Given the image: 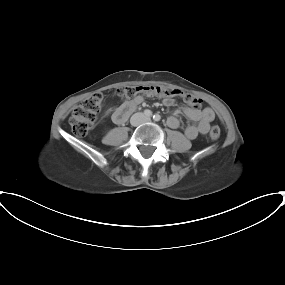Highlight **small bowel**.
<instances>
[{"instance_id": "c3829d8e", "label": "small bowel", "mask_w": 285, "mask_h": 285, "mask_svg": "<svg viewBox=\"0 0 285 285\" xmlns=\"http://www.w3.org/2000/svg\"><path fill=\"white\" fill-rule=\"evenodd\" d=\"M142 102H143V96L137 95L131 98L129 101L125 102L124 104L130 103L134 105L136 108V106L140 105ZM163 103L166 106H172L174 104V99L170 97L164 98ZM178 113L185 115L186 117L195 122V124L188 125L184 130L185 136L188 139H195L199 134L207 133L210 127V123L215 118L214 111L209 107L202 109H195L184 106L175 112V114ZM175 114L170 115L167 119L168 126L173 129L178 128L180 125V122Z\"/></svg>"}]
</instances>
